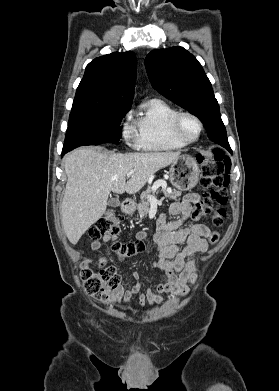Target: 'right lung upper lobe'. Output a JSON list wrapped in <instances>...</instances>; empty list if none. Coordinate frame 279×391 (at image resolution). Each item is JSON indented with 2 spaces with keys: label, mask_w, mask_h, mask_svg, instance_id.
<instances>
[{
  "label": "right lung upper lobe",
  "mask_w": 279,
  "mask_h": 391,
  "mask_svg": "<svg viewBox=\"0 0 279 391\" xmlns=\"http://www.w3.org/2000/svg\"><path fill=\"white\" fill-rule=\"evenodd\" d=\"M137 60L131 51L98 57L85 70L72 111L90 108H130L134 96Z\"/></svg>",
  "instance_id": "obj_1"
}]
</instances>
